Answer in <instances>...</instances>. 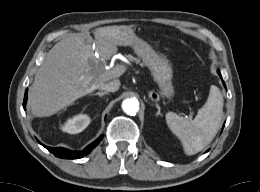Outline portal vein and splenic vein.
Returning a JSON list of instances; mask_svg holds the SVG:
<instances>
[{"instance_id":"obj_1","label":"portal vein and splenic vein","mask_w":260,"mask_h":192,"mask_svg":"<svg viewBox=\"0 0 260 192\" xmlns=\"http://www.w3.org/2000/svg\"><path fill=\"white\" fill-rule=\"evenodd\" d=\"M126 71L125 66L117 65L113 69L107 71L109 77H119Z\"/></svg>"}]
</instances>
